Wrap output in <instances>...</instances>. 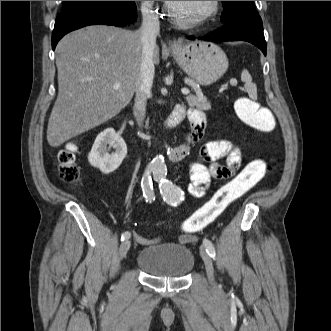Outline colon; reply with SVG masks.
Listing matches in <instances>:
<instances>
[{"instance_id":"colon-1","label":"colon","mask_w":331,"mask_h":331,"mask_svg":"<svg viewBox=\"0 0 331 331\" xmlns=\"http://www.w3.org/2000/svg\"><path fill=\"white\" fill-rule=\"evenodd\" d=\"M235 109L238 117L255 130L271 132L276 127L271 111L248 97L239 98L236 101ZM75 151L74 145H68L58 154L60 177L72 184L77 183L80 179V171L75 162ZM266 171V163L257 159L229 179L210 200L185 220L183 223L185 235L182 241H195L194 232L216 221L232 203L253 189L264 178Z\"/></svg>"}]
</instances>
